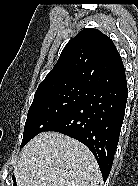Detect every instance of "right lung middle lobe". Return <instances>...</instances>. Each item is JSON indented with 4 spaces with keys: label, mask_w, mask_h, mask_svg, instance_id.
Instances as JSON below:
<instances>
[{
    "label": "right lung middle lobe",
    "mask_w": 138,
    "mask_h": 186,
    "mask_svg": "<svg viewBox=\"0 0 138 186\" xmlns=\"http://www.w3.org/2000/svg\"><path fill=\"white\" fill-rule=\"evenodd\" d=\"M90 90L86 86L70 85L35 93L28 111L21 147L80 105Z\"/></svg>",
    "instance_id": "1"
}]
</instances>
